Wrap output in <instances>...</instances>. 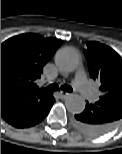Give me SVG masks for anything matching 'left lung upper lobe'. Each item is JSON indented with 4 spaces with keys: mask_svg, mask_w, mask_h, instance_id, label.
Segmentation results:
<instances>
[{
    "mask_svg": "<svg viewBox=\"0 0 122 154\" xmlns=\"http://www.w3.org/2000/svg\"><path fill=\"white\" fill-rule=\"evenodd\" d=\"M84 50L90 77L100 82V99L122 98V58L110 47L96 41Z\"/></svg>",
    "mask_w": 122,
    "mask_h": 154,
    "instance_id": "1",
    "label": "left lung upper lobe"
}]
</instances>
